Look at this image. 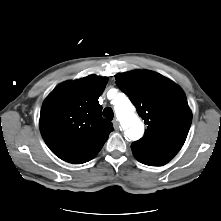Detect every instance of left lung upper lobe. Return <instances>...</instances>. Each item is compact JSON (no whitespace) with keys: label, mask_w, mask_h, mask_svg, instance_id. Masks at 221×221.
Instances as JSON below:
<instances>
[{"label":"left lung upper lobe","mask_w":221,"mask_h":221,"mask_svg":"<svg viewBox=\"0 0 221 221\" xmlns=\"http://www.w3.org/2000/svg\"><path fill=\"white\" fill-rule=\"evenodd\" d=\"M115 79L147 125L144 136L131 148L158 166L168 163L183 146L192 122L185 93L152 71L119 73Z\"/></svg>","instance_id":"1"}]
</instances>
